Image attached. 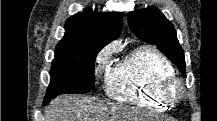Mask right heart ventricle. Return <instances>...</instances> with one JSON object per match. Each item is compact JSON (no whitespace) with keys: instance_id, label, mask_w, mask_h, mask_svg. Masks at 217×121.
Returning <instances> with one entry per match:
<instances>
[{"instance_id":"1","label":"right heart ventricle","mask_w":217,"mask_h":121,"mask_svg":"<svg viewBox=\"0 0 217 121\" xmlns=\"http://www.w3.org/2000/svg\"><path fill=\"white\" fill-rule=\"evenodd\" d=\"M170 76L169 60L150 46H140L110 71L105 87L108 95L119 102L163 110L171 105L163 93Z\"/></svg>"}]
</instances>
